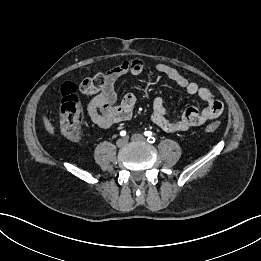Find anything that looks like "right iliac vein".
Here are the masks:
<instances>
[{
	"instance_id": "obj_1",
	"label": "right iliac vein",
	"mask_w": 261,
	"mask_h": 261,
	"mask_svg": "<svg viewBox=\"0 0 261 261\" xmlns=\"http://www.w3.org/2000/svg\"><path fill=\"white\" fill-rule=\"evenodd\" d=\"M126 143H127L126 138H120V139L117 140L116 145H117L119 148H121V147L125 146Z\"/></svg>"
}]
</instances>
